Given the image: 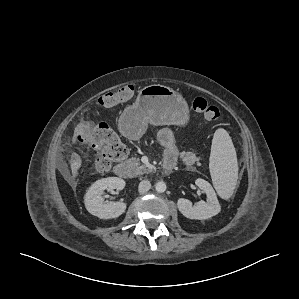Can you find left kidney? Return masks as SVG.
Here are the masks:
<instances>
[{
    "instance_id": "obj_1",
    "label": "left kidney",
    "mask_w": 299,
    "mask_h": 299,
    "mask_svg": "<svg viewBox=\"0 0 299 299\" xmlns=\"http://www.w3.org/2000/svg\"><path fill=\"white\" fill-rule=\"evenodd\" d=\"M195 184L206 193V202L199 201L196 205L192 206L190 200L179 198L177 201L179 211L186 218L198 220H205L217 215L221 210V206L211 184L201 178L197 179Z\"/></svg>"
}]
</instances>
